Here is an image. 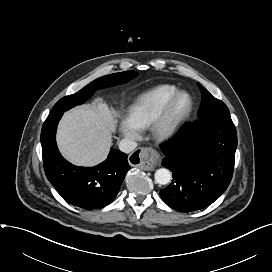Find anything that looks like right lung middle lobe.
<instances>
[{
  "label": "right lung middle lobe",
  "mask_w": 272,
  "mask_h": 272,
  "mask_svg": "<svg viewBox=\"0 0 272 272\" xmlns=\"http://www.w3.org/2000/svg\"><path fill=\"white\" fill-rule=\"evenodd\" d=\"M136 76L137 72L129 70L100 77L82 88L77 93L61 98L53 107L50 115L64 113L70 108L84 103L95 93V91L126 83Z\"/></svg>",
  "instance_id": "dd1d6c3e"
}]
</instances>
